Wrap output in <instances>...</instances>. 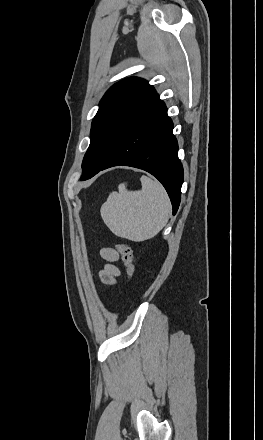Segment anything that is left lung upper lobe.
Segmentation results:
<instances>
[{
	"instance_id": "left-lung-upper-lobe-1",
	"label": "left lung upper lobe",
	"mask_w": 263,
	"mask_h": 440,
	"mask_svg": "<svg viewBox=\"0 0 263 440\" xmlns=\"http://www.w3.org/2000/svg\"><path fill=\"white\" fill-rule=\"evenodd\" d=\"M155 94L153 86L137 77L124 79L105 93L92 121L81 180L107 163L135 115Z\"/></svg>"
}]
</instances>
